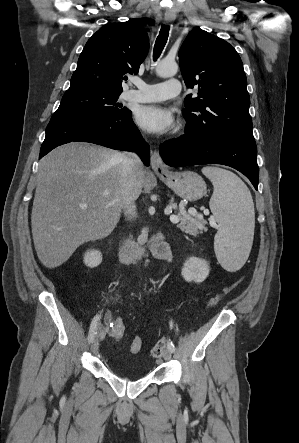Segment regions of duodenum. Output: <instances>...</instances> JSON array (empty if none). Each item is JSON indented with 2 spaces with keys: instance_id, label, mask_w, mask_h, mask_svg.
Returning <instances> with one entry per match:
<instances>
[{
  "instance_id": "410a0bca",
  "label": "duodenum",
  "mask_w": 299,
  "mask_h": 443,
  "mask_svg": "<svg viewBox=\"0 0 299 443\" xmlns=\"http://www.w3.org/2000/svg\"><path fill=\"white\" fill-rule=\"evenodd\" d=\"M147 249L157 258H161L169 251L163 234L159 232L146 245L130 240H122L118 245V254L122 261L128 262L142 259Z\"/></svg>"
}]
</instances>
